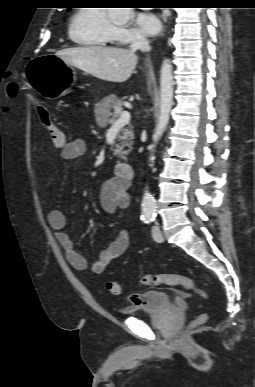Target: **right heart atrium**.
<instances>
[{
  "label": "right heart atrium",
  "instance_id": "d8ad5b80",
  "mask_svg": "<svg viewBox=\"0 0 255 387\" xmlns=\"http://www.w3.org/2000/svg\"><path fill=\"white\" fill-rule=\"evenodd\" d=\"M113 37L114 41L120 44H129L144 40L143 35L126 26H114Z\"/></svg>",
  "mask_w": 255,
  "mask_h": 387
}]
</instances>
